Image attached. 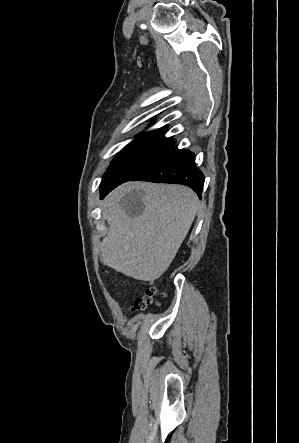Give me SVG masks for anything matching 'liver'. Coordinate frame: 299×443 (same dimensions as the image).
Masks as SVG:
<instances>
[{"instance_id":"obj_1","label":"liver","mask_w":299,"mask_h":443,"mask_svg":"<svg viewBox=\"0 0 299 443\" xmlns=\"http://www.w3.org/2000/svg\"><path fill=\"white\" fill-rule=\"evenodd\" d=\"M198 209V197L180 185L132 183L111 192L103 214L105 265L142 281L158 279L170 266Z\"/></svg>"}]
</instances>
